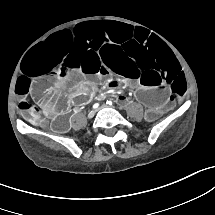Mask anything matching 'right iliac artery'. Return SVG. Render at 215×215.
I'll return each mask as SVG.
<instances>
[{"label":"right iliac artery","mask_w":215,"mask_h":215,"mask_svg":"<svg viewBox=\"0 0 215 215\" xmlns=\"http://www.w3.org/2000/svg\"><path fill=\"white\" fill-rule=\"evenodd\" d=\"M98 106H99V104L96 103V104L93 105V108H97Z\"/></svg>","instance_id":"82829eb1"}]
</instances>
